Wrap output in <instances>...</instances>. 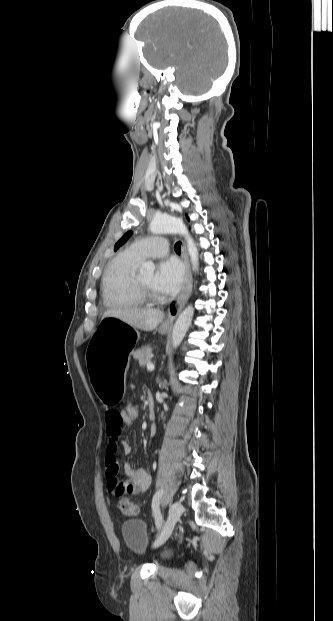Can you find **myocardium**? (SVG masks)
<instances>
[{
	"label": "myocardium",
	"mask_w": 333,
	"mask_h": 621,
	"mask_svg": "<svg viewBox=\"0 0 333 621\" xmlns=\"http://www.w3.org/2000/svg\"><path fill=\"white\" fill-rule=\"evenodd\" d=\"M134 285L135 288L138 292V294L145 300V301H149V302H160L162 300H164V297L160 294H157L155 292H153L152 290H150L149 288H147L145 285H143L140 280L138 279V276L134 277Z\"/></svg>",
	"instance_id": "1"
}]
</instances>
